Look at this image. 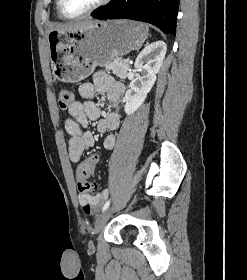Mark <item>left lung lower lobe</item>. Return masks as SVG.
Segmentation results:
<instances>
[{"label": "left lung lower lobe", "instance_id": "left-lung-lower-lobe-1", "mask_svg": "<svg viewBox=\"0 0 247 280\" xmlns=\"http://www.w3.org/2000/svg\"><path fill=\"white\" fill-rule=\"evenodd\" d=\"M179 0H111L97 11L96 19L127 18L157 26L165 34L176 35Z\"/></svg>", "mask_w": 247, "mask_h": 280}]
</instances>
